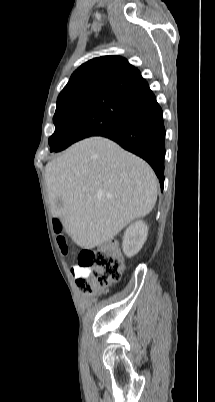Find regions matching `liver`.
I'll return each mask as SVG.
<instances>
[{"mask_svg":"<svg viewBox=\"0 0 215 402\" xmlns=\"http://www.w3.org/2000/svg\"><path fill=\"white\" fill-rule=\"evenodd\" d=\"M45 181L53 216L84 249L112 240L157 200L152 168L103 137L79 141L48 162Z\"/></svg>","mask_w":215,"mask_h":402,"instance_id":"6515ba94","label":"liver"}]
</instances>
